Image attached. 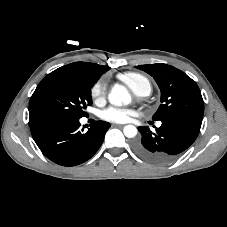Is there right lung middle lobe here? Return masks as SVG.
Instances as JSON below:
<instances>
[{"label":"right lung middle lobe","mask_w":227,"mask_h":227,"mask_svg":"<svg viewBox=\"0 0 227 227\" xmlns=\"http://www.w3.org/2000/svg\"><path fill=\"white\" fill-rule=\"evenodd\" d=\"M93 77L56 69L37 86L29 103V126L46 121H67L86 116L92 104Z\"/></svg>","instance_id":"1"}]
</instances>
